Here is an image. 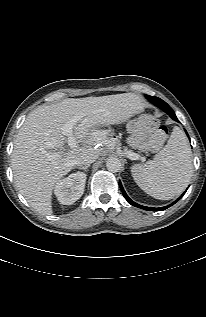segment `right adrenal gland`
Here are the masks:
<instances>
[{
  "instance_id": "right-adrenal-gland-1",
  "label": "right adrenal gland",
  "mask_w": 206,
  "mask_h": 317,
  "mask_svg": "<svg viewBox=\"0 0 206 317\" xmlns=\"http://www.w3.org/2000/svg\"><path fill=\"white\" fill-rule=\"evenodd\" d=\"M89 166H90V165L80 166V167H77V168L80 169V170H84V171L86 172Z\"/></svg>"
}]
</instances>
